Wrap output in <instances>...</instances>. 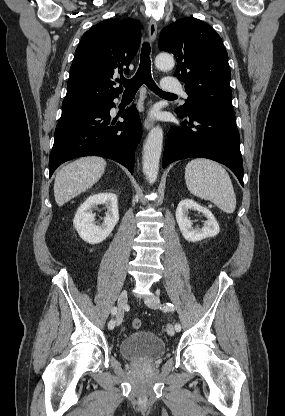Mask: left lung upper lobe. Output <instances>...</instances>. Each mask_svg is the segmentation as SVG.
Instances as JSON below:
<instances>
[{"mask_svg": "<svg viewBox=\"0 0 285 416\" xmlns=\"http://www.w3.org/2000/svg\"><path fill=\"white\" fill-rule=\"evenodd\" d=\"M159 48L175 55L174 76L185 82L188 98L177 108L179 116L199 109L233 111L228 54L210 25L192 17L178 19L162 30Z\"/></svg>", "mask_w": 285, "mask_h": 416, "instance_id": "left-lung-upper-lobe-1", "label": "left lung upper lobe"}]
</instances>
